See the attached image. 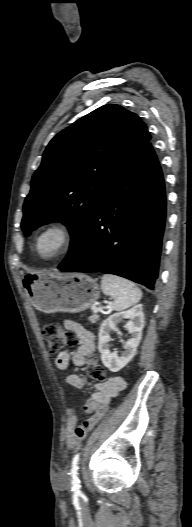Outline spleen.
Returning a JSON list of instances; mask_svg holds the SVG:
<instances>
[{
  "label": "spleen",
  "instance_id": "obj_1",
  "mask_svg": "<svg viewBox=\"0 0 192 527\" xmlns=\"http://www.w3.org/2000/svg\"><path fill=\"white\" fill-rule=\"evenodd\" d=\"M101 289L106 296L113 298L112 306L116 311L135 305L142 297L141 290L133 282L116 275H103Z\"/></svg>",
  "mask_w": 192,
  "mask_h": 527
}]
</instances>
